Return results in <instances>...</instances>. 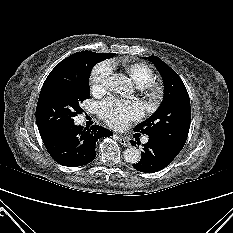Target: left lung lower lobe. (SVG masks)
Here are the masks:
<instances>
[{"mask_svg": "<svg viewBox=\"0 0 233 233\" xmlns=\"http://www.w3.org/2000/svg\"><path fill=\"white\" fill-rule=\"evenodd\" d=\"M130 142L135 146V141ZM143 146L141 159L133 164V167L145 173H154L164 169L179 153L152 137H149L148 142Z\"/></svg>", "mask_w": 233, "mask_h": 233, "instance_id": "obj_1", "label": "left lung lower lobe"}]
</instances>
